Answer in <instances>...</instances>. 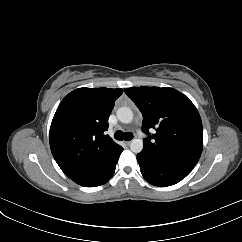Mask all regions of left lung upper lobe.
<instances>
[{
	"label": "left lung upper lobe",
	"mask_w": 242,
	"mask_h": 242,
	"mask_svg": "<svg viewBox=\"0 0 242 242\" xmlns=\"http://www.w3.org/2000/svg\"><path fill=\"white\" fill-rule=\"evenodd\" d=\"M125 92L142 112V130L157 131L144 140V148L196 165L203 149V128L190 99L173 88L132 87Z\"/></svg>",
	"instance_id": "5c2ea615"
}]
</instances>
